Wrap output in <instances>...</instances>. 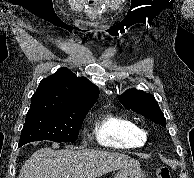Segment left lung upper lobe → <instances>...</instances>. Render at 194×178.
Segmentation results:
<instances>
[{"instance_id": "1", "label": "left lung upper lobe", "mask_w": 194, "mask_h": 178, "mask_svg": "<svg viewBox=\"0 0 194 178\" xmlns=\"http://www.w3.org/2000/svg\"><path fill=\"white\" fill-rule=\"evenodd\" d=\"M127 110L137 112L155 123L166 127V119L152 94L142 90L130 89L118 96Z\"/></svg>"}]
</instances>
